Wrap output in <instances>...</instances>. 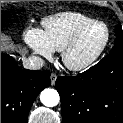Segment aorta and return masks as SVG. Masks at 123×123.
<instances>
[{"label": "aorta", "instance_id": "1", "mask_svg": "<svg viewBox=\"0 0 123 123\" xmlns=\"http://www.w3.org/2000/svg\"><path fill=\"white\" fill-rule=\"evenodd\" d=\"M40 100L47 107H54L59 103L60 97L55 89L46 88L41 92Z\"/></svg>", "mask_w": 123, "mask_h": 123}]
</instances>
